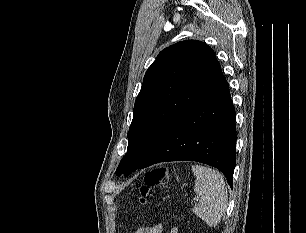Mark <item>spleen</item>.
<instances>
[{
  "label": "spleen",
  "instance_id": "1",
  "mask_svg": "<svg viewBox=\"0 0 306 233\" xmlns=\"http://www.w3.org/2000/svg\"><path fill=\"white\" fill-rule=\"evenodd\" d=\"M196 176L194 191L200 196L193 212L209 227H216L227 208L228 193L223 175L217 170L193 165Z\"/></svg>",
  "mask_w": 306,
  "mask_h": 233
}]
</instances>
